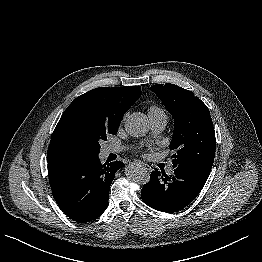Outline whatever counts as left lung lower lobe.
<instances>
[{
  "label": "left lung lower lobe",
  "mask_w": 262,
  "mask_h": 262,
  "mask_svg": "<svg viewBox=\"0 0 262 262\" xmlns=\"http://www.w3.org/2000/svg\"><path fill=\"white\" fill-rule=\"evenodd\" d=\"M208 176L175 169L174 174L155 169L141 190L142 200L150 207L166 213L177 212L200 193Z\"/></svg>",
  "instance_id": "left-lung-lower-lobe-1"
}]
</instances>
